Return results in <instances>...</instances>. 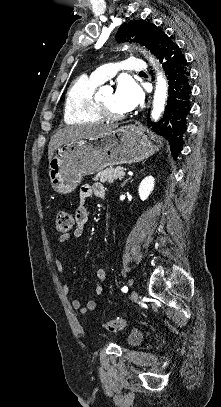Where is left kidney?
Returning a JSON list of instances; mask_svg holds the SVG:
<instances>
[{"label":"left kidney","mask_w":221,"mask_h":407,"mask_svg":"<svg viewBox=\"0 0 221 407\" xmlns=\"http://www.w3.org/2000/svg\"><path fill=\"white\" fill-rule=\"evenodd\" d=\"M155 179L152 176L144 178L138 188L140 199L145 201L154 189Z\"/></svg>","instance_id":"obj_1"}]
</instances>
